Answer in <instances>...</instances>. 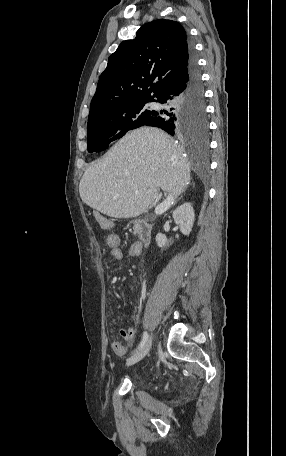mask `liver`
<instances>
[{"label":"liver","instance_id":"obj_1","mask_svg":"<svg viewBox=\"0 0 286 456\" xmlns=\"http://www.w3.org/2000/svg\"><path fill=\"white\" fill-rule=\"evenodd\" d=\"M190 181L184 150L164 131L142 127L126 134L84 173L79 193L89 207L114 218L141 215L158 197H177Z\"/></svg>","mask_w":286,"mask_h":456}]
</instances>
